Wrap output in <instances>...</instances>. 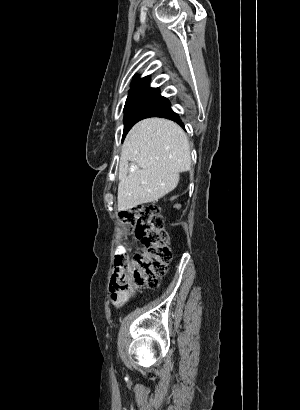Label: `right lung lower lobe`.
Returning a JSON list of instances; mask_svg holds the SVG:
<instances>
[{
  "label": "right lung lower lobe",
  "instance_id": "98d812e1",
  "mask_svg": "<svg viewBox=\"0 0 300 410\" xmlns=\"http://www.w3.org/2000/svg\"><path fill=\"white\" fill-rule=\"evenodd\" d=\"M154 116L168 118V119L177 121L181 126H183L181 120H179L178 114L174 113L170 107L164 109L163 111H161L157 114L151 115L149 117H154Z\"/></svg>",
  "mask_w": 300,
  "mask_h": 410
}]
</instances>
